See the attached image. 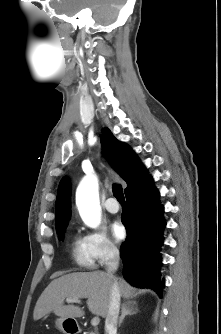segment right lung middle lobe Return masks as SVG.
I'll use <instances>...</instances> for the list:
<instances>
[{
	"mask_svg": "<svg viewBox=\"0 0 221 334\" xmlns=\"http://www.w3.org/2000/svg\"><path fill=\"white\" fill-rule=\"evenodd\" d=\"M65 228H66V227L57 230V234H59V235H58L59 240H62V239H63V232H64Z\"/></svg>",
	"mask_w": 221,
	"mask_h": 334,
	"instance_id": "dd1d6c3e",
	"label": "right lung middle lobe"
}]
</instances>
